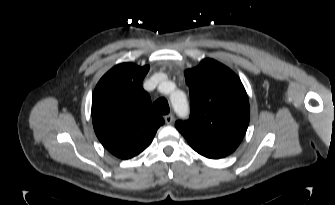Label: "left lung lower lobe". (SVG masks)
<instances>
[{"label": "left lung lower lobe", "instance_id": "0a47b994", "mask_svg": "<svg viewBox=\"0 0 335 205\" xmlns=\"http://www.w3.org/2000/svg\"><path fill=\"white\" fill-rule=\"evenodd\" d=\"M192 147V146H191ZM195 151H197L199 154H201L204 157L210 158V159H220L223 158L227 155L225 154H218V153H212V152H206V151H201L197 148L192 147Z\"/></svg>", "mask_w": 335, "mask_h": 205}]
</instances>
